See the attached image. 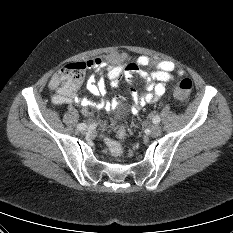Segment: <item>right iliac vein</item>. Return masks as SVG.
Wrapping results in <instances>:
<instances>
[{
    "label": "right iliac vein",
    "mask_w": 233,
    "mask_h": 233,
    "mask_svg": "<svg viewBox=\"0 0 233 233\" xmlns=\"http://www.w3.org/2000/svg\"><path fill=\"white\" fill-rule=\"evenodd\" d=\"M81 134L83 136L89 135L90 134V128L89 127H84L83 130L81 131Z\"/></svg>",
    "instance_id": "right-iliac-vein-1"
}]
</instances>
